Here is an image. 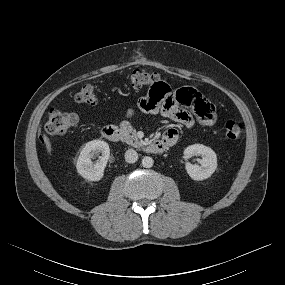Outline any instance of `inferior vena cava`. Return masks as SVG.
I'll use <instances>...</instances> for the list:
<instances>
[{"label":"inferior vena cava","instance_id":"602c4592","mask_svg":"<svg viewBox=\"0 0 285 285\" xmlns=\"http://www.w3.org/2000/svg\"><path fill=\"white\" fill-rule=\"evenodd\" d=\"M138 159V153L134 149H128L125 152V161L128 163H135Z\"/></svg>","mask_w":285,"mask_h":285}]
</instances>
